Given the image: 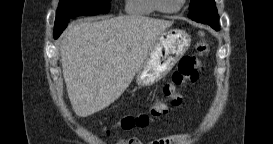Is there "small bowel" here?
I'll list each match as a JSON object with an SVG mask.
<instances>
[{"instance_id":"1","label":"small bowel","mask_w":273,"mask_h":144,"mask_svg":"<svg viewBox=\"0 0 273 144\" xmlns=\"http://www.w3.org/2000/svg\"><path fill=\"white\" fill-rule=\"evenodd\" d=\"M186 138L187 136L185 134H174L154 139L150 141L149 144H180L183 143ZM118 144H142V142L136 137H131L120 140Z\"/></svg>"}]
</instances>
